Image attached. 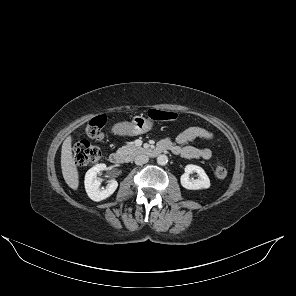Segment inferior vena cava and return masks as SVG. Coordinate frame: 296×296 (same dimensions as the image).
Returning <instances> with one entry per match:
<instances>
[{
    "instance_id": "1",
    "label": "inferior vena cava",
    "mask_w": 296,
    "mask_h": 296,
    "mask_svg": "<svg viewBox=\"0 0 296 296\" xmlns=\"http://www.w3.org/2000/svg\"><path fill=\"white\" fill-rule=\"evenodd\" d=\"M149 160L148 156L147 155H144V154H139L135 157V164L136 165H143L145 163H147Z\"/></svg>"
}]
</instances>
